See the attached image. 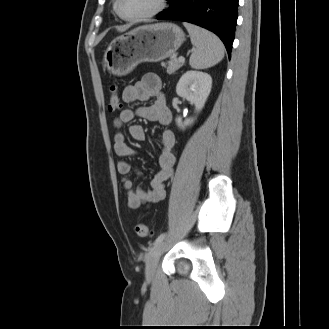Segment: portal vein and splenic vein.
Wrapping results in <instances>:
<instances>
[{
	"label": "portal vein and splenic vein",
	"instance_id": "1",
	"mask_svg": "<svg viewBox=\"0 0 329 329\" xmlns=\"http://www.w3.org/2000/svg\"><path fill=\"white\" fill-rule=\"evenodd\" d=\"M180 62H185V58L183 56H180L178 59Z\"/></svg>",
	"mask_w": 329,
	"mask_h": 329
}]
</instances>
